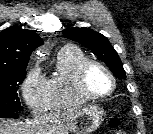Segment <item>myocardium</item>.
Returning a JSON list of instances; mask_svg holds the SVG:
<instances>
[{
  "mask_svg": "<svg viewBox=\"0 0 153 134\" xmlns=\"http://www.w3.org/2000/svg\"><path fill=\"white\" fill-rule=\"evenodd\" d=\"M94 67L100 68L109 76L112 82V87L110 91L103 94H95L88 89V86H87L88 73ZM76 83H77V88L80 94L84 96L85 98H87L88 100H99V99L106 98L114 93L117 86L116 78L114 74L111 72V70L107 66H105L103 63L96 60H90V59L86 60L79 67L76 74Z\"/></svg>",
  "mask_w": 153,
  "mask_h": 134,
  "instance_id": "myocardium-1",
  "label": "myocardium"
}]
</instances>
